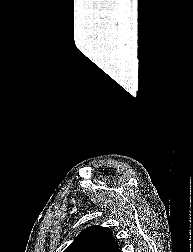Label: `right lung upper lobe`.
Here are the masks:
<instances>
[{"label": "right lung upper lobe", "mask_w": 193, "mask_h": 252, "mask_svg": "<svg viewBox=\"0 0 193 252\" xmlns=\"http://www.w3.org/2000/svg\"><path fill=\"white\" fill-rule=\"evenodd\" d=\"M64 252H120L112 231L102 226L84 229Z\"/></svg>", "instance_id": "obj_1"}]
</instances>
